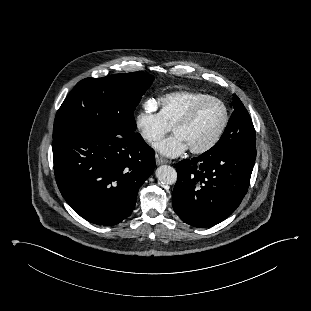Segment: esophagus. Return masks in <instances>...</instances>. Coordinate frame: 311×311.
I'll return each mask as SVG.
<instances>
[{
	"mask_svg": "<svg viewBox=\"0 0 311 311\" xmlns=\"http://www.w3.org/2000/svg\"><path fill=\"white\" fill-rule=\"evenodd\" d=\"M155 158H156V164L157 165H162V164L169 163V161L167 159H164V158H162V157H160L158 155H156Z\"/></svg>",
	"mask_w": 311,
	"mask_h": 311,
	"instance_id": "1",
	"label": "esophagus"
}]
</instances>
